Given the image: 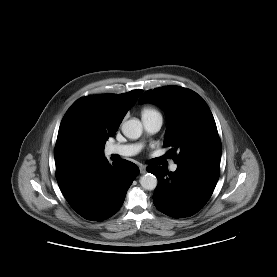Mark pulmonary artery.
Segmentation results:
<instances>
[{
  "mask_svg": "<svg viewBox=\"0 0 277 277\" xmlns=\"http://www.w3.org/2000/svg\"><path fill=\"white\" fill-rule=\"evenodd\" d=\"M143 125L148 133H156L162 126L161 116L142 117ZM140 144H126V145H110L106 148L107 155L117 154L120 156H133L141 150ZM177 165L175 163L170 165L171 171H176Z\"/></svg>",
  "mask_w": 277,
  "mask_h": 277,
  "instance_id": "e3ab8cb5",
  "label": "pulmonary artery"
}]
</instances>
